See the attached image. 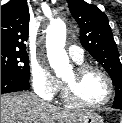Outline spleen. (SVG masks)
Instances as JSON below:
<instances>
[{"label": "spleen", "mask_w": 122, "mask_h": 123, "mask_svg": "<svg viewBox=\"0 0 122 123\" xmlns=\"http://www.w3.org/2000/svg\"><path fill=\"white\" fill-rule=\"evenodd\" d=\"M120 123H122V117H121V121H120Z\"/></svg>", "instance_id": "3e777b00"}]
</instances>
